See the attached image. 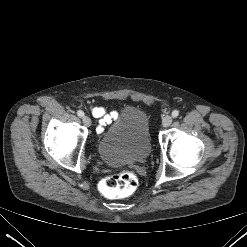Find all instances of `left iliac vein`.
<instances>
[{"label": "left iliac vein", "mask_w": 247, "mask_h": 247, "mask_svg": "<svg viewBox=\"0 0 247 247\" xmlns=\"http://www.w3.org/2000/svg\"><path fill=\"white\" fill-rule=\"evenodd\" d=\"M171 123H172V117L171 116L164 117V119L162 121L163 127H168L171 125Z\"/></svg>", "instance_id": "left-iliac-vein-1"}]
</instances>
